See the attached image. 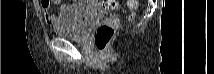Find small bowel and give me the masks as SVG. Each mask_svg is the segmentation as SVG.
I'll use <instances>...</instances> for the list:
<instances>
[{
	"instance_id": "1",
	"label": "small bowel",
	"mask_w": 214,
	"mask_h": 74,
	"mask_svg": "<svg viewBox=\"0 0 214 74\" xmlns=\"http://www.w3.org/2000/svg\"><path fill=\"white\" fill-rule=\"evenodd\" d=\"M40 3H41L45 22L51 26L56 24L59 17L51 12V7L53 4H59V3L51 0H42ZM60 10L61 12H65L67 10V7L64 5H61Z\"/></svg>"
}]
</instances>
